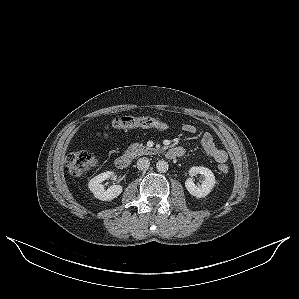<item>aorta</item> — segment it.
Listing matches in <instances>:
<instances>
[{
  "mask_svg": "<svg viewBox=\"0 0 299 299\" xmlns=\"http://www.w3.org/2000/svg\"><path fill=\"white\" fill-rule=\"evenodd\" d=\"M156 168L159 172H166L168 170V163L164 160H160L157 162Z\"/></svg>",
  "mask_w": 299,
  "mask_h": 299,
  "instance_id": "1",
  "label": "aorta"
}]
</instances>
